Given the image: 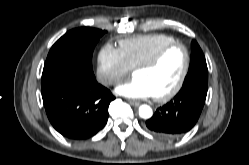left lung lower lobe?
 Instances as JSON below:
<instances>
[{
	"instance_id": "0a47b994",
	"label": "left lung lower lobe",
	"mask_w": 249,
	"mask_h": 165,
	"mask_svg": "<svg viewBox=\"0 0 249 165\" xmlns=\"http://www.w3.org/2000/svg\"><path fill=\"white\" fill-rule=\"evenodd\" d=\"M207 90L206 80L196 79L183 84L178 94L146 121L147 128L162 139L182 136L196 124L205 104Z\"/></svg>"
}]
</instances>
